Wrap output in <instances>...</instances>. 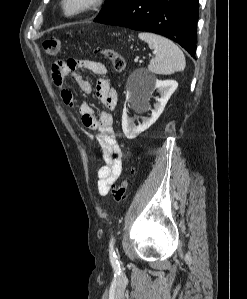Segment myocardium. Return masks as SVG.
I'll list each match as a JSON object with an SVG mask.
<instances>
[{
	"instance_id": "1",
	"label": "myocardium",
	"mask_w": 247,
	"mask_h": 299,
	"mask_svg": "<svg viewBox=\"0 0 247 299\" xmlns=\"http://www.w3.org/2000/svg\"><path fill=\"white\" fill-rule=\"evenodd\" d=\"M103 0H61V13L68 18L76 17L97 8Z\"/></svg>"
}]
</instances>
